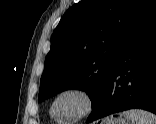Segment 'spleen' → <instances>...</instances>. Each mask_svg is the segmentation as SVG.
<instances>
[{
	"mask_svg": "<svg viewBox=\"0 0 156 124\" xmlns=\"http://www.w3.org/2000/svg\"><path fill=\"white\" fill-rule=\"evenodd\" d=\"M124 117L132 119L136 124H156V115L139 109L124 111Z\"/></svg>",
	"mask_w": 156,
	"mask_h": 124,
	"instance_id": "3e777b00",
	"label": "spleen"
}]
</instances>
